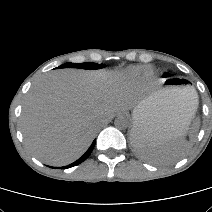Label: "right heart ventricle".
Returning a JSON list of instances; mask_svg holds the SVG:
<instances>
[{
  "label": "right heart ventricle",
  "mask_w": 212,
  "mask_h": 212,
  "mask_svg": "<svg viewBox=\"0 0 212 212\" xmlns=\"http://www.w3.org/2000/svg\"><path fill=\"white\" fill-rule=\"evenodd\" d=\"M131 72H133V73H141L142 72V73L148 74L151 72V70L150 69H142V68H134L131 70Z\"/></svg>",
  "instance_id": "right-heart-ventricle-1"
}]
</instances>
